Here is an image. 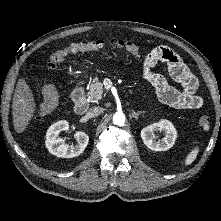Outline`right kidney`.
Masks as SVG:
<instances>
[{
    "instance_id": "right-kidney-1",
    "label": "right kidney",
    "mask_w": 221,
    "mask_h": 221,
    "mask_svg": "<svg viewBox=\"0 0 221 221\" xmlns=\"http://www.w3.org/2000/svg\"><path fill=\"white\" fill-rule=\"evenodd\" d=\"M69 123L66 120H61L49 127L46 133V147L48 151L62 158H72L80 155L88 145L89 136L81 131H77L74 134L77 144L75 146H69L65 144V141L59 137L61 131H68Z\"/></svg>"
}]
</instances>
